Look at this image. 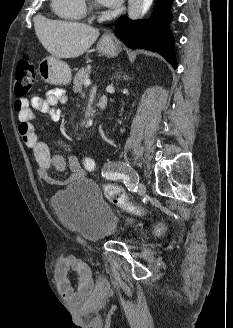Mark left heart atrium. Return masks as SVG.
<instances>
[{
    "label": "left heart atrium",
    "instance_id": "1",
    "mask_svg": "<svg viewBox=\"0 0 233 328\" xmlns=\"http://www.w3.org/2000/svg\"><path fill=\"white\" fill-rule=\"evenodd\" d=\"M97 1L106 7L115 8L119 6L123 0H97Z\"/></svg>",
    "mask_w": 233,
    "mask_h": 328
}]
</instances>
